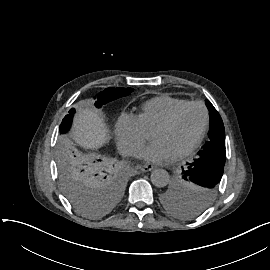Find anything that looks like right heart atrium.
Instances as JSON below:
<instances>
[{"mask_svg": "<svg viewBox=\"0 0 270 270\" xmlns=\"http://www.w3.org/2000/svg\"><path fill=\"white\" fill-rule=\"evenodd\" d=\"M119 151L124 156H135L146 142V132L138 120L130 114H122L115 124Z\"/></svg>", "mask_w": 270, "mask_h": 270, "instance_id": "d8ad5b80", "label": "right heart atrium"}]
</instances>
